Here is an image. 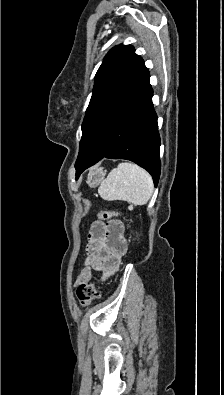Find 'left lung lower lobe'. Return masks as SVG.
<instances>
[{
  "mask_svg": "<svg viewBox=\"0 0 224 395\" xmlns=\"http://www.w3.org/2000/svg\"><path fill=\"white\" fill-rule=\"evenodd\" d=\"M149 71H142L97 115L86 147L75 163L76 179L102 158L127 159L146 169L158 183L161 163L157 116Z\"/></svg>",
  "mask_w": 224,
  "mask_h": 395,
  "instance_id": "0a47b994",
  "label": "left lung lower lobe"
}]
</instances>
